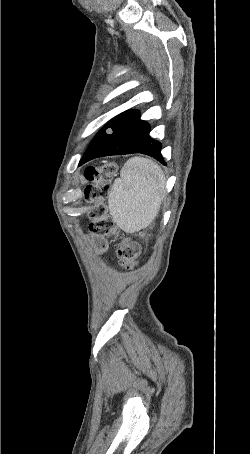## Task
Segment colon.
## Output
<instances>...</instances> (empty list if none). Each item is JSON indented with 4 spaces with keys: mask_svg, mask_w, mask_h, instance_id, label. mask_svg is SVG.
Instances as JSON below:
<instances>
[{
    "mask_svg": "<svg viewBox=\"0 0 250 454\" xmlns=\"http://www.w3.org/2000/svg\"><path fill=\"white\" fill-rule=\"evenodd\" d=\"M117 171V166L109 162L101 167L91 166L85 171V178L93 184L88 187L86 196L94 202L90 210V231L98 236H111L116 233L114 221L106 204L110 192V182ZM139 245L128 238H122L117 245V257L120 265L132 270L138 265Z\"/></svg>",
    "mask_w": 250,
    "mask_h": 454,
    "instance_id": "colon-1",
    "label": "colon"
}]
</instances>
